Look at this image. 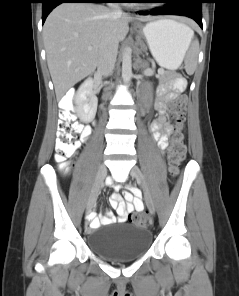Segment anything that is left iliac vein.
I'll return each mask as SVG.
<instances>
[{
  "label": "left iliac vein",
  "mask_w": 239,
  "mask_h": 296,
  "mask_svg": "<svg viewBox=\"0 0 239 296\" xmlns=\"http://www.w3.org/2000/svg\"><path fill=\"white\" fill-rule=\"evenodd\" d=\"M130 175L133 178H135L137 180V182L140 183V185L142 186V188L144 190L145 203H146L148 209L150 210V212L152 214H155L154 202H153V199L149 193L148 187L145 183V180H144L141 170L137 166H134L130 170Z\"/></svg>",
  "instance_id": "4c4485c4"
}]
</instances>
